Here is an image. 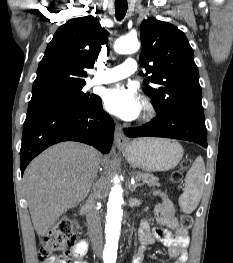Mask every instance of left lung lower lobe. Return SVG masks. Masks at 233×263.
<instances>
[{"label":"left lung lower lobe","mask_w":233,"mask_h":263,"mask_svg":"<svg viewBox=\"0 0 233 263\" xmlns=\"http://www.w3.org/2000/svg\"><path fill=\"white\" fill-rule=\"evenodd\" d=\"M128 137H165L181 139L207 147V130L203 109L180 108L157 115L151 122L125 130Z\"/></svg>","instance_id":"left-lung-lower-lobe-1"}]
</instances>
